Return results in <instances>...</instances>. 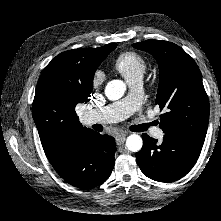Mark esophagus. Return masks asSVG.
<instances>
[{
	"label": "esophagus",
	"instance_id": "1",
	"mask_svg": "<svg viewBox=\"0 0 221 221\" xmlns=\"http://www.w3.org/2000/svg\"><path fill=\"white\" fill-rule=\"evenodd\" d=\"M126 136H127V133L125 132H121L119 133L117 136H116V142L118 145H121L125 142L126 140Z\"/></svg>",
	"mask_w": 221,
	"mask_h": 221
}]
</instances>
